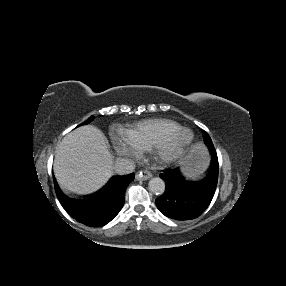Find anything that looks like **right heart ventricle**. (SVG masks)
Listing matches in <instances>:
<instances>
[{
    "label": "right heart ventricle",
    "instance_id": "right-heart-ventricle-1",
    "mask_svg": "<svg viewBox=\"0 0 286 286\" xmlns=\"http://www.w3.org/2000/svg\"><path fill=\"white\" fill-rule=\"evenodd\" d=\"M181 129L182 126L179 123L170 119H148L133 124L128 130V135L141 150H145Z\"/></svg>",
    "mask_w": 286,
    "mask_h": 286
}]
</instances>
